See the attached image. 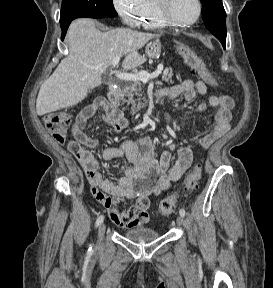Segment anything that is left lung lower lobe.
<instances>
[{"label": "left lung lower lobe", "instance_id": "1", "mask_svg": "<svg viewBox=\"0 0 273 288\" xmlns=\"http://www.w3.org/2000/svg\"><path fill=\"white\" fill-rule=\"evenodd\" d=\"M218 40L222 43L223 48L225 49L226 44V30H211L210 31Z\"/></svg>", "mask_w": 273, "mask_h": 288}]
</instances>
